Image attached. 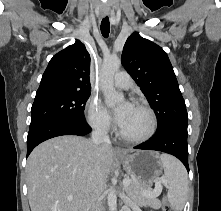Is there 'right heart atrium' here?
<instances>
[{"instance_id":"1","label":"right heart atrium","mask_w":221,"mask_h":211,"mask_svg":"<svg viewBox=\"0 0 221 211\" xmlns=\"http://www.w3.org/2000/svg\"><path fill=\"white\" fill-rule=\"evenodd\" d=\"M87 120L90 126L99 132H108L112 127V120L109 112L101 101L91 96L86 104Z\"/></svg>"}]
</instances>
